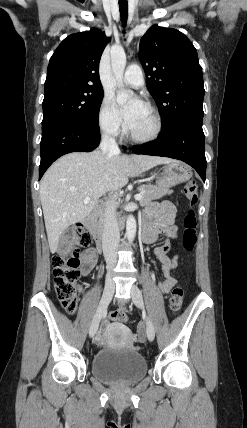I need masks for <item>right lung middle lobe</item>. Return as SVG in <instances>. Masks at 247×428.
<instances>
[{
    "label": "right lung middle lobe",
    "mask_w": 247,
    "mask_h": 428,
    "mask_svg": "<svg viewBox=\"0 0 247 428\" xmlns=\"http://www.w3.org/2000/svg\"><path fill=\"white\" fill-rule=\"evenodd\" d=\"M103 89L63 87L44 92L43 121L64 119L86 125H98Z\"/></svg>",
    "instance_id": "obj_1"
}]
</instances>
